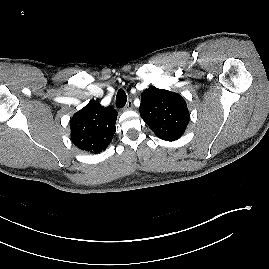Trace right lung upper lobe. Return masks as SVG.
Instances as JSON below:
<instances>
[{"instance_id": "1", "label": "right lung upper lobe", "mask_w": 269, "mask_h": 269, "mask_svg": "<svg viewBox=\"0 0 269 269\" xmlns=\"http://www.w3.org/2000/svg\"><path fill=\"white\" fill-rule=\"evenodd\" d=\"M116 119L114 108L90 101L70 121L71 140L81 150L100 153L107 148L115 134Z\"/></svg>"}]
</instances>
